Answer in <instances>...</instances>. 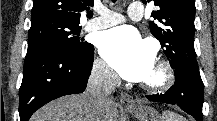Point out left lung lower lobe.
Instances as JSON below:
<instances>
[{
	"mask_svg": "<svg viewBox=\"0 0 217 121\" xmlns=\"http://www.w3.org/2000/svg\"><path fill=\"white\" fill-rule=\"evenodd\" d=\"M175 84L164 94L146 95L150 101L179 106L197 121H203L204 85L199 69L182 65L175 68Z\"/></svg>",
	"mask_w": 217,
	"mask_h": 121,
	"instance_id": "obj_1",
	"label": "left lung lower lobe"
}]
</instances>
